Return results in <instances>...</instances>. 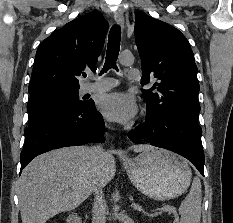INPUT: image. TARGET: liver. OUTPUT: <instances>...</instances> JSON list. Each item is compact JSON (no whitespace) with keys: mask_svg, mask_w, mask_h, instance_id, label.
Masks as SVG:
<instances>
[{"mask_svg":"<svg viewBox=\"0 0 233 223\" xmlns=\"http://www.w3.org/2000/svg\"><path fill=\"white\" fill-rule=\"evenodd\" d=\"M133 151H147L152 145H131ZM90 147L74 145L41 153L24 167L18 181L22 223H46L47 219L71 211L91 195L94 173ZM100 181L107 185L116 175L114 155L107 151Z\"/></svg>","mask_w":233,"mask_h":223,"instance_id":"liver-1","label":"liver"}]
</instances>
